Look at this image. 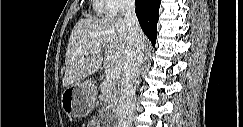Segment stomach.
<instances>
[{
    "label": "stomach",
    "mask_w": 243,
    "mask_h": 127,
    "mask_svg": "<svg viewBox=\"0 0 243 127\" xmlns=\"http://www.w3.org/2000/svg\"><path fill=\"white\" fill-rule=\"evenodd\" d=\"M96 96L97 90L92 82L78 81L64 89L61 94V106L70 117H86L94 107Z\"/></svg>",
    "instance_id": "0dacf381"
}]
</instances>
